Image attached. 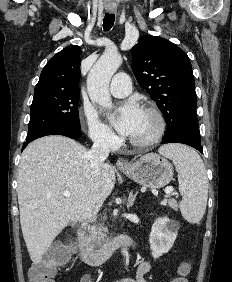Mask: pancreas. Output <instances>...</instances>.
Listing matches in <instances>:
<instances>
[{
	"instance_id": "1",
	"label": "pancreas",
	"mask_w": 232,
	"mask_h": 282,
	"mask_svg": "<svg viewBox=\"0 0 232 282\" xmlns=\"http://www.w3.org/2000/svg\"><path fill=\"white\" fill-rule=\"evenodd\" d=\"M167 203L170 208L177 211L178 204L175 199L171 198L167 201ZM107 232L108 229L103 224H99V225L94 224L88 227L89 240L94 245L102 246L107 241V235H106Z\"/></svg>"
}]
</instances>
